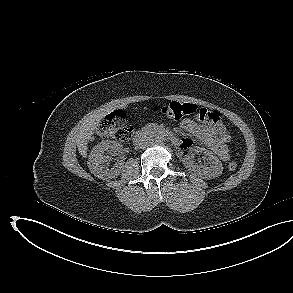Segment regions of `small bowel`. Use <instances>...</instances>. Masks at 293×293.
Listing matches in <instances>:
<instances>
[{
	"label": "small bowel",
	"instance_id": "obj_1",
	"mask_svg": "<svg viewBox=\"0 0 293 293\" xmlns=\"http://www.w3.org/2000/svg\"><path fill=\"white\" fill-rule=\"evenodd\" d=\"M183 130L200 139L209 149H211L222 161L230 158L226 144L220 139L218 127L208 122H196L191 119L181 121ZM192 145V140L183 139L180 148L186 149Z\"/></svg>",
	"mask_w": 293,
	"mask_h": 293
}]
</instances>
